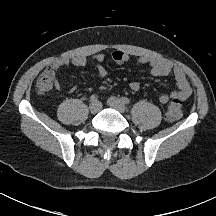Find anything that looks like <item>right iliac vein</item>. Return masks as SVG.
I'll return each instance as SVG.
<instances>
[{"label":"right iliac vein","mask_w":216,"mask_h":216,"mask_svg":"<svg viewBox=\"0 0 216 216\" xmlns=\"http://www.w3.org/2000/svg\"><path fill=\"white\" fill-rule=\"evenodd\" d=\"M89 109H90L91 113L95 114V113H97V112L100 111V109H101V103L98 102V101L93 102V103L90 104Z\"/></svg>","instance_id":"1"}]
</instances>
